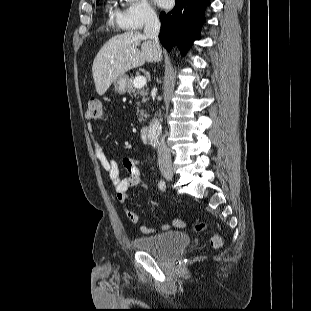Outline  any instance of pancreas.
I'll return each mask as SVG.
<instances>
[{
    "mask_svg": "<svg viewBox=\"0 0 311 311\" xmlns=\"http://www.w3.org/2000/svg\"><path fill=\"white\" fill-rule=\"evenodd\" d=\"M133 81H134V78L131 77L128 79V84H127V92L129 94H131L134 98H139V97H142V100L141 102L142 103H146L147 100H149V98L147 97V90L146 89H141V88H135L134 85H133ZM137 105H140V103L138 102ZM139 113V121L142 122L144 121L143 117L145 116L144 114V110H138L137 111V114Z\"/></svg>",
    "mask_w": 311,
    "mask_h": 311,
    "instance_id": "obj_1",
    "label": "pancreas"
}]
</instances>
